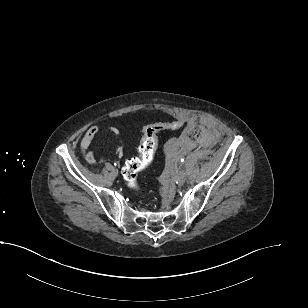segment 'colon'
I'll list each match as a JSON object with an SVG mask.
<instances>
[{
	"label": "colon",
	"instance_id": "5ec220e1",
	"mask_svg": "<svg viewBox=\"0 0 308 308\" xmlns=\"http://www.w3.org/2000/svg\"><path fill=\"white\" fill-rule=\"evenodd\" d=\"M181 126L182 121L176 119L152 124L144 128L139 145V155L128 160L122 170L123 177L131 188H137L138 174L152 162L158 146V134L164 130L178 129Z\"/></svg>",
	"mask_w": 308,
	"mask_h": 308
}]
</instances>
